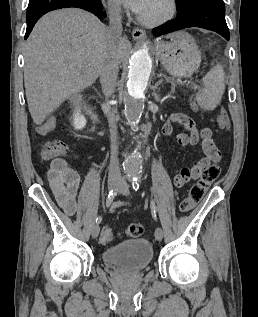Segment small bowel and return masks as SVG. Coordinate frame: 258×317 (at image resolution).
Listing matches in <instances>:
<instances>
[{"label": "small bowel", "mask_w": 258, "mask_h": 317, "mask_svg": "<svg viewBox=\"0 0 258 317\" xmlns=\"http://www.w3.org/2000/svg\"><path fill=\"white\" fill-rule=\"evenodd\" d=\"M92 114V113H91ZM55 118L50 117L38 127V133L46 135L54 130ZM172 123L180 124L187 133H178L177 142L182 146H194L201 142L203 157L195 161L191 167H183L174 178V184L182 187L191 180L200 177L201 172L210 164L218 163L221 159V152L213 139V132L206 127L198 129L193 119L183 113L172 114L162 127L163 135H171ZM50 189L58 204L67 215L73 216L77 212V200L80 190V176L78 172L63 158H55L51 162L48 173ZM124 203H115L112 210Z\"/></svg>", "instance_id": "1"}]
</instances>
